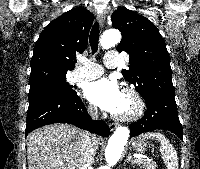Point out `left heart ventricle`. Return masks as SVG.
<instances>
[{"mask_svg": "<svg viewBox=\"0 0 200 169\" xmlns=\"http://www.w3.org/2000/svg\"><path fill=\"white\" fill-rule=\"evenodd\" d=\"M133 109H134V103L132 99L129 96L123 94L117 114L120 115L128 114L132 112Z\"/></svg>", "mask_w": 200, "mask_h": 169, "instance_id": "1", "label": "left heart ventricle"}]
</instances>
